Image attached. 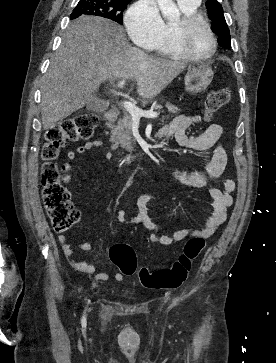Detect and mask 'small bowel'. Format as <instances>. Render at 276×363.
Wrapping results in <instances>:
<instances>
[{
	"mask_svg": "<svg viewBox=\"0 0 276 363\" xmlns=\"http://www.w3.org/2000/svg\"><path fill=\"white\" fill-rule=\"evenodd\" d=\"M202 121L199 114L192 116L179 115L174 117L165 127L159 132L160 138L174 137L176 141L183 147L195 151H207L213 149V153L207 159L206 167L201 171H181L173 170L170 177L176 183L189 188L206 187L212 180L219 178L227 165V153L222 144V136L224 134L223 127L219 124H211L208 128L199 135H188L187 129L194 123ZM101 146V141L93 140L83 145L78 146L75 150H70L67 153L69 160H75L79 154L86 153L94 147ZM111 157V155H108ZM63 170L70 172L73 170V164L70 162L64 163ZM72 180V176L67 174L62 181L68 183ZM236 188V182L232 178H224L222 180V188H212L210 197L213 203V212L207 219L205 224L197 229H182L172 234L163 231L160 225L155 223L148 212V204L154 201L156 197L153 194H144L137 200L138 213L132 218H128L124 210L118 211L115 223L127 225H143L146 229L152 232L150 240L153 243L161 245H174L187 237H209L224 223L227 216V210L232 205V193ZM58 241L62 245L65 257L70 265L78 272L90 275L94 281L115 280L120 282L124 279V274L116 272L113 275L109 273H97L96 267L84 261L76 260L72 246L66 241L64 235L58 236ZM79 250L88 252L91 250L89 242H83L79 245Z\"/></svg>",
	"mask_w": 276,
	"mask_h": 363,
	"instance_id": "obj_1",
	"label": "small bowel"
}]
</instances>
